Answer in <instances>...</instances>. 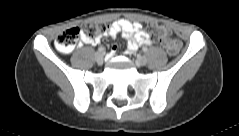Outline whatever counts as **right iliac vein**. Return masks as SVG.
<instances>
[{
  "mask_svg": "<svg viewBox=\"0 0 239 136\" xmlns=\"http://www.w3.org/2000/svg\"><path fill=\"white\" fill-rule=\"evenodd\" d=\"M95 59H96V62L101 65L104 61V53L103 52H97L95 54Z\"/></svg>",
  "mask_w": 239,
  "mask_h": 136,
  "instance_id": "1",
  "label": "right iliac vein"
}]
</instances>
